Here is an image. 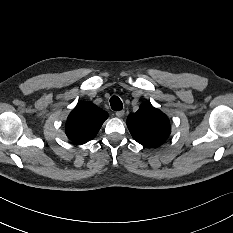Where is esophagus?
Here are the masks:
<instances>
[{
	"mask_svg": "<svg viewBox=\"0 0 233 233\" xmlns=\"http://www.w3.org/2000/svg\"><path fill=\"white\" fill-rule=\"evenodd\" d=\"M115 114H116L117 117H123L124 116V111L123 110L116 111Z\"/></svg>",
	"mask_w": 233,
	"mask_h": 233,
	"instance_id": "esophagus-1",
	"label": "esophagus"
}]
</instances>
